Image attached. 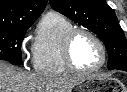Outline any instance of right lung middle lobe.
I'll use <instances>...</instances> for the list:
<instances>
[{
  "label": "right lung middle lobe",
  "instance_id": "right-lung-middle-lobe-1",
  "mask_svg": "<svg viewBox=\"0 0 127 92\" xmlns=\"http://www.w3.org/2000/svg\"><path fill=\"white\" fill-rule=\"evenodd\" d=\"M31 25L0 28V60L21 62V44Z\"/></svg>",
  "mask_w": 127,
  "mask_h": 92
}]
</instances>
